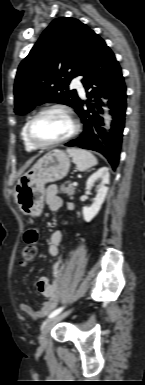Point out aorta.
<instances>
[{
	"label": "aorta",
	"mask_w": 145,
	"mask_h": 385,
	"mask_svg": "<svg viewBox=\"0 0 145 385\" xmlns=\"http://www.w3.org/2000/svg\"><path fill=\"white\" fill-rule=\"evenodd\" d=\"M106 119H109V116L106 114Z\"/></svg>",
	"instance_id": "obj_1"
}]
</instances>
